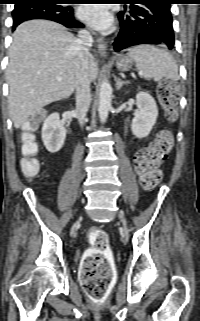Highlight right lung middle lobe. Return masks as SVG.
<instances>
[{
    "mask_svg": "<svg viewBox=\"0 0 200 321\" xmlns=\"http://www.w3.org/2000/svg\"><path fill=\"white\" fill-rule=\"evenodd\" d=\"M54 1H57V2H62V1H65V0H54Z\"/></svg>",
    "mask_w": 200,
    "mask_h": 321,
    "instance_id": "obj_1",
    "label": "right lung middle lobe"
}]
</instances>
